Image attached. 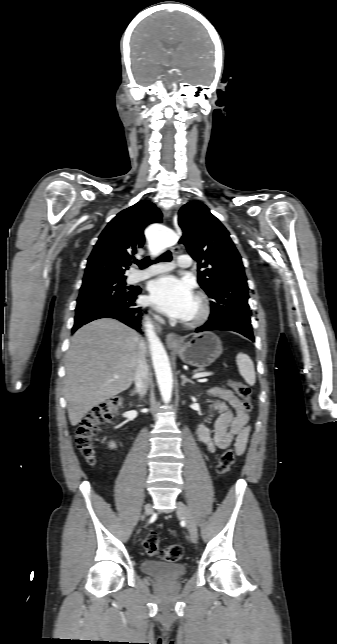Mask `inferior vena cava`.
<instances>
[{"mask_svg": "<svg viewBox=\"0 0 337 644\" xmlns=\"http://www.w3.org/2000/svg\"><path fill=\"white\" fill-rule=\"evenodd\" d=\"M155 319L160 323H164V320L159 316H155ZM145 354H146L145 344L142 342L141 352L138 357L137 368H136L135 377H134L137 391L141 396L146 394L149 386V370H148Z\"/></svg>", "mask_w": 337, "mask_h": 644, "instance_id": "1", "label": "inferior vena cava"}]
</instances>
